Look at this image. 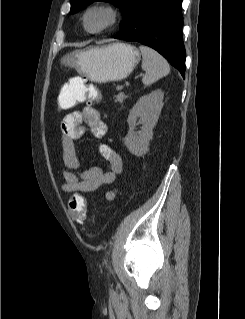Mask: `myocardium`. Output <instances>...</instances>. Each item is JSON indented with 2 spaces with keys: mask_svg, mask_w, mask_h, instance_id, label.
Segmentation results:
<instances>
[{
  "mask_svg": "<svg viewBox=\"0 0 245 319\" xmlns=\"http://www.w3.org/2000/svg\"><path fill=\"white\" fill-rule=\"evenodd\" d=\"M96 12L104 13L107 16V20L102 26L96 29H91L88 26V18L91 14ZM118 18H119V13L117 9L113 7L112 5L103 4V3L92 4L86 8L83 14V27L85 31H87L90 34H101L111 29L117 23Z\"/></svg>",
  "mask_w": 245,
  "mask_h": 319,
  "instance_id": "myocardium-1",
  "label": "myocardium"
}]
</instances>
